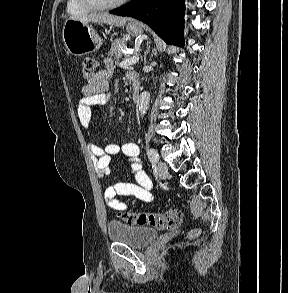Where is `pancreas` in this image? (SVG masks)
Returning <instances> with one entry per match:
<instances>
[{"label": "pancreas", "mask_w": 288, "mask_h": 293, "mask_svg": "<svg viewBox=\"0 0 288 293\" xmlns=\"http://www.w3.org/2000/svg\"><path fill=\"white\" fill-rule=\"evenodd\" d=\"M125 42H126L125 39H116L112 43L111 49L108 52V55L113 56L116 61H119L124 55L122 52V49L126 47ZM134 55H137V53H134Z\"/></svg>", "instance_id": "cf45deb5"}]
</instances>
